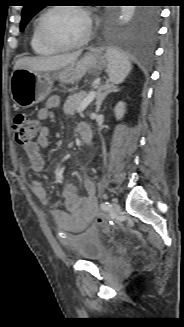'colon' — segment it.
Masks as SVG:
<instances>
[{"instance_id":"obj_1","label":"colon","mask_w":184,"mask_h":327,"mask_svg":"<svg viewBox=\"0 0 184 327\" xmlns=\"http://www.w3.org/2000/svg\"><path fill=\"white\" fill-rule=\"evenodd\" d=\"M15 141L21 146H28L34 142L40 131V124L37 120L31 118L25 113H18L15 115L12 123ZM97 222L99 224H106V218L98 214Z\"/></svg>"}]
</instances>
